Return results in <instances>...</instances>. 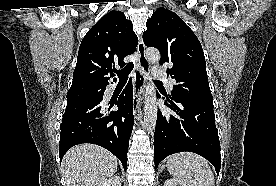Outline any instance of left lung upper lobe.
<instances>
[{
	"instance_id": "left-lung-upper-lobe-1",
	"label": "left lung upper lobe",
	"mask_w": 276,
	"mask_h": 186,
	"mask_svg": "<svg viewBox=\"0 0 276 186\" xmlns=\"http://www.w3.org/2000/svg\"><path fill=\"white\" fill-rule=\"evenodd\" d=\"M143 34L146 46L161 53L160 65L176 80L174 101L212 100L202 46L193 31L174 12L158 8L147 21Z\"/></svg>"
}]
</instances>
